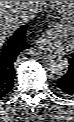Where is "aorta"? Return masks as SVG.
I'll list each match as a JSON object with an SVG mask.
<instances>
[{
  "label": "aorta",
  "instance_id": "obj_1",
  "mask_svg": "<svg viewBox=\"0 0 74 122\" xmlns=\"http://www.w3.org/2000/svg\"><path fill=\"white\" fill-rule=\"evenodd\" d=\"M46 65L52 74L64 75L68 71L69 61L61 54H53L48 57Z\"/></svg>",
  "mask_w": 74,
  "mask_h": 122
}]
</instances>
